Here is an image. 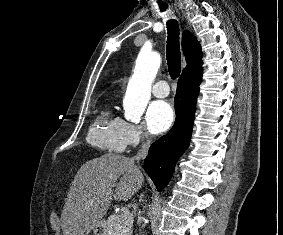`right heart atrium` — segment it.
<instances>
[{"mask_svg":"<svg viewBox=\"0 0 283 235\" xmlns=\"http://www.w3.org/2000/svg\"><path fill=\"white\" fill-rule=\"evenodd\" d=\"M124 133L127 145L136 146L150 138L142 125L124 121Z\"/></svg>","mask_w":283,"mask_h":235,"instance_id":"1","label":"right heart atrium"}]
</instances>
